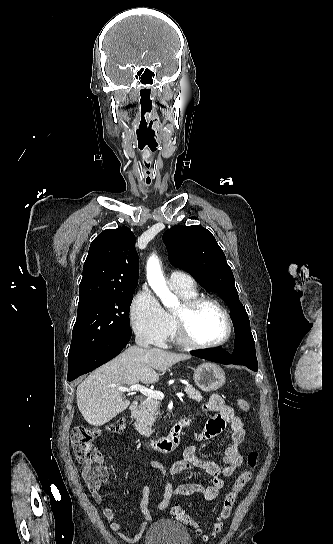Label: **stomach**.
Segmentation results:
<instances>
[{
  "label": "stomach",
  "mask_w": 333,
  "mask_h": 544,
  "mask_svg": "<svg viewBox=\"0 0 333 544\" xmlns=\"http://www.w3.org/2000/svg\"><path fill=\"white\" fill-rule=\"evenodd\" d=\"M193 379L205 392L218 390L226 381L223 369L214 363H203L194 368Z\"/></svg>",
  "instance_id": "obj_1"
}]
</instances>
